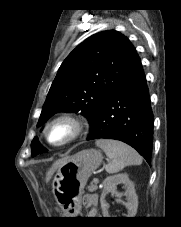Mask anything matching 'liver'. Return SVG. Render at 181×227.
I'll use <instances>...</instances> for the list:
<instances>
[{"label": "liver", "mask_w": 181, "mask_h": 227, "mask_svg": "<svg viewBox=\"0 0 181 227\" xmlns=\"http://www.w3.org/2000/svg\"><path fill=\"white\" fill-rule=\"evenodd\" d=\"M69 158L70 157H65V158L59 159L56 162H54V164L51 166V168L46 173V178L45 179H46L47 183L51 180V178H52L53 174L55 173V171L60 166H62L65 162H67Z\"/></svg>", "instance_id": "6515ba94"}]
</instances>
